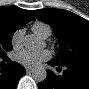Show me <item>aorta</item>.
Instances as JSON below:
<instances>
[{
	"label": "aorta",
	"mask_w": 89,
	"mask_h": 89,
	"mask_svg": "<svg viewBox=\"0 0 89 89\" xmlns=\"http://www.w3.org/2000/svg\"><path fill=\"white\" fill-rule=\"evenodd\" d=\"M24 46L30 51H37L44 48L45 43L34 34L25 36ZM47 72L44 67H38L32 72V78L37 82H42L46 79Z\"/></svg>",
	"instance_id": "762f6f07"
}]
</instances>
